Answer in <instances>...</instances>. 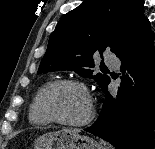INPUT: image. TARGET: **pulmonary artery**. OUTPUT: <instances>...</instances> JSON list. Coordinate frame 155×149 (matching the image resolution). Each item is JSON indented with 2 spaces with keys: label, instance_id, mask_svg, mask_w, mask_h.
<instances>
[{
  "label": "pulmonary artery",
  "instance_id": "e3ab8cb5",
  "mask_svg": "<svg viewBox=\"0 0 155 149\" xmlns=\"http://www.w3.org/2000/svg\"><path fill=\"white\" fill-rule=\"evenodd\" d=\"M106 64L112 67H118L120 64V61L115 56H108L106 57Z\"/></svg>",
  "mask_w": 155,
  "mask_h": 149
}]
</instances>
